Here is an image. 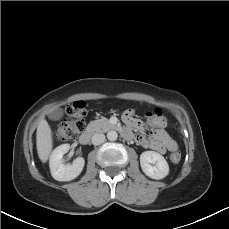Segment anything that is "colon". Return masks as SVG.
Here are the masks:
<instances>
[{
	"label": "colon",
	"mask_w": 229,
	"mask_h": 229,
	"mask_svg": "<svg viewBox=\"0 0 229 229\" xmlns=\"http://www.w3.org/2000/svg\"><path fill=\"white\" fill-rule=\"evenodd\" d=\"M68 117L61 120L57 124L55 131V138L58 141H71L83 131L85 125V118L87 115L86 104L83 101H76L67 108ZM148 125L153 127V123L148 119ZM170 159L173 163H178L181 160V153L177 149V145H170Z\"/></svg>",
	"instance_id": "obj_1"
}]
</instances>
